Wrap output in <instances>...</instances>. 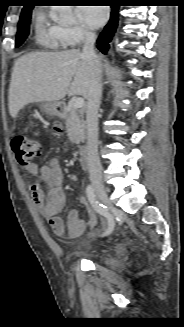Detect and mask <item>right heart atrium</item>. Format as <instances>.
Segmentation results:
<instances>
[{
	"label": "right heart atrium",
	"instance_id": "obj_1",
	"mask_svg": "<svg viewBox=\"0 0 184 327\" xmlns=\"http://www.w3.org/2000/svg\"><path fill=\"white\" fill-rule=\"evenodd\" d=\"M91 36L92 32L80 23L64 27L62 32L64 45L68 47L79 46Z\"/></svg>",
	"mask_w": 184,
	"mask_h": 327
}]
</instances>
